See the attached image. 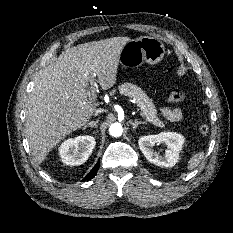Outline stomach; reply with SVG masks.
Here are the masks:
<instances>
[{
	"label": "stomach",
	"mask_w": 233,
	"mask_h": 233,
	"mask_svg": "<svg viewBox=\"0 0 233 233\" xmlns=\"http://www.w3.org/2000/svg\"><path fill=\"white\" fill-rule=\"evenodd\" d=\"M165 55L164 44L153 37L142 36L131 39L123 47L119 62L123 67H136L146 62L154 65L159 63Z\"/></svg>",
	"instance_id": "stomach-1"
}]
</instances>
